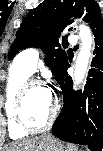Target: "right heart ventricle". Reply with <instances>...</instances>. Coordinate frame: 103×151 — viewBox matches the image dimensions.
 I'll return each instance as SVG.
<instances>
[{"mask_svg":"<svg viewBox=\"0 0 103 151\" xmlns=\"http://www.w3.org/2000/svg\"><path fill=\"white\" fill-rule=\"evenodd\" d=\"M29 73L15 62L12 64L5 89L4 111L7 121L8 135L11 139L17 140L24 138L28 132L21 130L13 116V108L16 94L25 80L28 79Z\"/></svg>","mask_w":103,"mask_h":151,"instance_id":"obj_1","label":"right heart ventricle"}]
</instances>
